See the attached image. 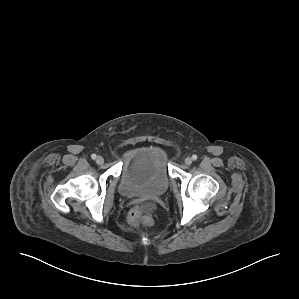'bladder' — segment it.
<instances>
[{
    "label": "bladder",
    "instance_id": "obj_1",
    "mask_svg": "<svg viewBox=\"0 0 299 299\" xmlns=\"http://www.w3.org/2000/svg\"><path fill=\"white\" fill-rule=\"evenodd\" d=\"M168 188L163 150L156 145H141L131 150L120 175V193L126 197H158Z\"/></svg>",
    "mask_w": 299,
    "mask_h": 299
}]
</instances>
